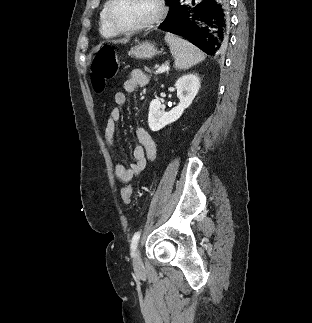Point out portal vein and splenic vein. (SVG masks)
I'll return each instance as SVG.
<instances>
[{"instance_id":"1","label":"portal vein and splenic vein","mask_w":312,"mask_h":323,"mask_svg":"<svg viewBox=\"0 0 312 323\" xmlns=\"http://www.w3.org/2000/svg\"><path fill=\"white\" fill-rule=\"evenodd\" d=\"M169 70L168 66H161V68H158L157 72L158 74H163V72H167Z\"/></svg>"}]
</instances>
